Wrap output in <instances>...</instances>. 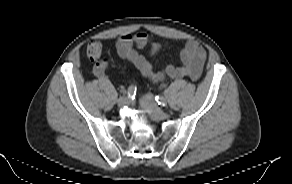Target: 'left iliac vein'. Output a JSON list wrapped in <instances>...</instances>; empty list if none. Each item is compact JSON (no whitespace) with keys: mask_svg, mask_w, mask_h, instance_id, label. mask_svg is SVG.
<instances>
[{"mask_svg":"<svg viewBox=\"0 0 292 184\" xmlns=\"http://www.w3.org/2000/svg\"><path fill=\"white\" fill-rule=\"evenodd\" d=\"M140 104L144 109H151L156 119L163 120L168 117V113L158 107L152 94H145L141 98Z\"/></svg>","mask_w":292,"mask_h":184,"instance_id":"obj_1","label":"left iliac vein"}]
</instances>
